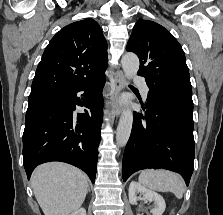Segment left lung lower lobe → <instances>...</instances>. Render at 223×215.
Returning a JSON list of instances; mask_svg holds the SVG:
<instances>
[{
    "label": "left lung lower lobe",
    "mask_w": 223,
    "mask_h": 215,
    "mask_svg": "<svg viewBox=\"0 0 223 215\" xmlns=\"http://www.w3.org/2000/svg\"><path fill=\"white\" fill-rule=\"evenodd\" d=\"M145 108V116L134 112L123 181L142 169L163 168L180 173L188 186L195 157L193 104L150 90Z\"/></svg>",
    "instance_id": "0a47b994"
}]
</instances>
